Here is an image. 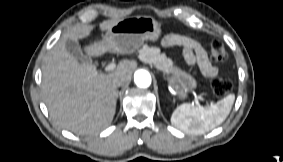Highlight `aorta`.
Instances as JSON below:
<instances>
[{
    "instance_id": "obj_1",
    "label": "aorta",
    "mask_w": 283,
    "mask_h": 162,
    "mask_svg": "<svg viewBox=\"0 0 283 162\" xmlns=\"http://www.w3.org/2000/svg\"><path fill=\"white\" fill-rule=\"evenodd\" d=\"M134 82L140 88H147L151 84V75L146 70H137L134 74Z\"/></svg>"
}]
</instances>
